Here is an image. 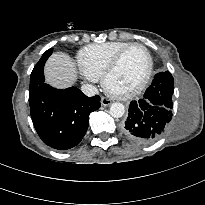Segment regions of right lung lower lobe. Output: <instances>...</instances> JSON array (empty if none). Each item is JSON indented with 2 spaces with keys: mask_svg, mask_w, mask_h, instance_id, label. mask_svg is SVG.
<instances>
[{
  "mask_svg": "<svg viewBox=\"0 0 205 205\" xmlns=\"http://www.w3.org/2000/svg\"><path fill=\"white\" fill-rule=\"evenodd\" d=\"M51 54L52 49L47 50L31 73L30 114L42 141L52 148L66 150L84 137L89 114L100 107V97H87L76 87L59 90L44 83L43 68Z\"/></svg>",
  "mask_w": 205,
  "mask_h": 205,
  "instance_id": "right-lung-lower-lobe-1",
  "label": "right lung lower lobe"
}]
</instances>
